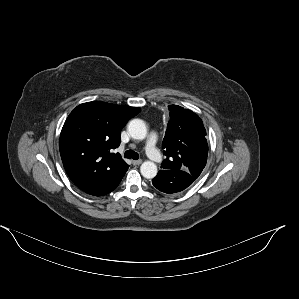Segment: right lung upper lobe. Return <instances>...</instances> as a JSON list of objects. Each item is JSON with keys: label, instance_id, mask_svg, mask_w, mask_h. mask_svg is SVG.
I'll return each mask as SVG.
<instances>
[{"label": "right lung upper lobe", "instance_id": "1", "mask_svg": "<svg viewBox=\"0 0 299 299\" xmlns=\"http://www.w3.org/2000/svg\"><path fill=\"white\" fill-rule=\"evenodd\" d=\"M140 108L101 101L77 106L60 134L61 159L73 183L84 192L102 196L120 183L128 165L112 150L120 145V131Z\"/></svg>", "mask_w": 299, "mask_h": 299}]
</instances>
